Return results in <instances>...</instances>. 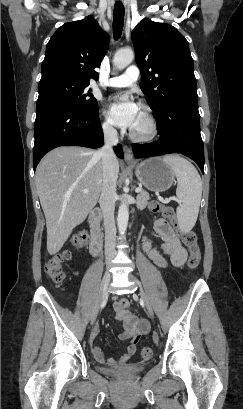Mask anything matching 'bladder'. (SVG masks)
I'll return each instance as SVG.
<instances>
[{
    "instance_id": "bladder-1",
    "label": "bladder",
    "mask_w": 243,
    "mask_h": 409,
    "mask_svg": "<svg viewBox=\"0 0 243 409\" xmlns=\"http://www.w3.org/2000/svg\"><path fill=\"white\" fill-rule=\"evenodd\" d=\"M98 372L104 375L113 376L120 379L134 378L146 369L145 364H123L119 366L99 365Z\"/></svg>"
}]
</instances>
